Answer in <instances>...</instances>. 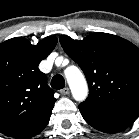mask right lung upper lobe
I'll list each match as a JSON object with an SVG mask.
<instances>
[{
  "label": "right lung upper lobe",
  "instance_id": "1",
  "mask_svg": "<svg viewBox=\"0 0 139 139\" xmlns=\"http://www.w3.org/2000/svg\"><path fill=\"white\" fill-rule=\"evenodd\" d=\"M49 36L32 45L23 37L0 44V132L11 136L52 111L56 99L38 65L55 48Z\"/></svg>",
  "mask_w": 139,
  "mask_h": 139
}]
</instances>
